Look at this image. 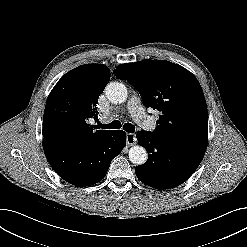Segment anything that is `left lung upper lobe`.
<instances>
[{
    "label": "left lung upper lobe",
    "instance_id": "5c2ea615",
    "mask_svg": "<svg viewBox=\"0 0 247 247\" xmlns=\"http://www.w3.org/2000/svg\"><path fill=\"white\" fill-rule=\"evenodd\" d=\"M113 72L140 93L146 107L160 112L152 135L177 146L206 151L207 105L191 72L165 60L121 64Z\"/></svg>",
    "mask_w": 247,
    "mask_h": 247
}]
</instances>
